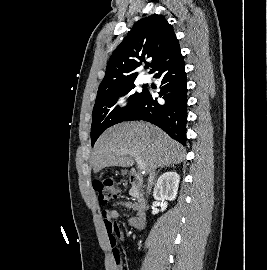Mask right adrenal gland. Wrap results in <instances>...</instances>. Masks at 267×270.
Returning <instances> with one entry per match:
<instances>
[{
  "mask_svg": "<svg viewBox=\"0 0 267 270\" xmlns=\"http://www.w3.org/2000/svg\"><path fill=\"white\" fill-rule=\"evenodd\" d=\"M167 167H174V164H169V165H166V166L161 167V168L158 170V172L156 173V176H157V174L160 172V170H162L163 168H167Z\"/></svg>",
  "mask_w": 267,
  "mask_h": 270,
  "instance_id": "right-adrenal-gland-1",
  "label": "right adrenal gland"
}]
</instances>
